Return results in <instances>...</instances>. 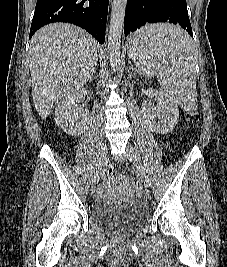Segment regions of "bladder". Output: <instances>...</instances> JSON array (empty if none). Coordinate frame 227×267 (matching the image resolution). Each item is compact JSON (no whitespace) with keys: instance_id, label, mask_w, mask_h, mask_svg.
<instances>
[{"instance_id":"1","label":"bladder","mask_w":227,"mask_h":267,"mask_svg":"<svg viewBox=\"0 0 227 267\" xmlns=\"http://www.w3.org/2000/svg\"><path fill=\"white\" fill-rule=\"evenodd\" d=\"M91 213L95 223L119 234L132 232L148 217V210L144 204L116 205L98 202L92 206Z\"/></svg>"}]
</instances>
